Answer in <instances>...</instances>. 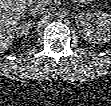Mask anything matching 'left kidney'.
<instances>
[{
	"label": "left kidney",
	"mask_w": 111,
	"mask_h": 106,
	"mask_svg": "<svg viewBox=\"0 0 111 106\" xmlns=\"http://www.w3.org/2000/svg\"><path fill=\"white\" fill-rule=\"evenodd\" d=\"M81 36L88 42L106 43L111 39V15L103 11L81 12L75 17Z\"/></svg>",
	"instance_id": "obj_1"
}]
</instances>
